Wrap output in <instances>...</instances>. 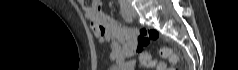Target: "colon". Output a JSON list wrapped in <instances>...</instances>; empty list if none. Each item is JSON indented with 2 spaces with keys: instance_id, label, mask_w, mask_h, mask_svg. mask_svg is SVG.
Returning a JSON list of instances; mask_svg holds the SVG:
<instances>
[{
  "instance_id": "obj_1",
  "label": "colon",
  "mask_w": 238,
  "mask_h": 70,
  "mask_svg": "<svg viewBox=\"0 0 238 70\" xmlns=\"http://www.w3.org/2000/svg\"><path fill=\"white\" fill-rule=\"evenodd\" d=\"M158 38V32L149 29V28H141L138 31V45L140 49H144L149 45V43L152 40H155ZM145 61L142 63L145 66L148 67H155L157 70H170V67H167V63H156L155 61L152 60L151 56L148 53H145ZM160 54L163 58H166L170 61L172 65H176L178 63V56L175 54V52L169 48V47H163L160 50Z\"/></svg>"
}]
</instances>
